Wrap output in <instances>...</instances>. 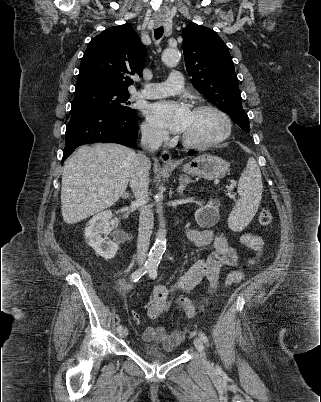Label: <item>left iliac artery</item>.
Segmentation results:
<instances>
[{
  "label": "left iliac artery",
  "instance_id": "obj_1",
  "mask_svg": "<svg viewBox=\"0 0 321 402\" xmlns=\"http://www.w3.org/2000/svg\"><path fill=\"white\" fill-rule=\"evenodd\" d=\"M149 276L153 279H155L157 277V266H152L149 270ZM200 339L204 342V343H208V338L207 336L203 333L200 332L199 333Z\"/></svg>",
  "mask_w": 321,
  "mask_h": 402
}]
</instances>
